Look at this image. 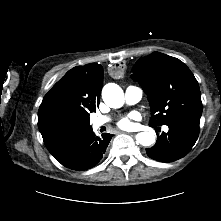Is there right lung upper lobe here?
Listing matches in <instances>:
<instances>
[{
	"label": "right lung upper lobe",
	"mask_w": 221,
	"mask_h": 221,
	"mask_svg": "<svg viewBox=\"0 0 221 221\" xmlns=\"http://www.w3.org/2000/svg\"><path fill=\"white\" fill-rule=\"evenodd\" d=\"M102 84V66L91 63L69 70L45 95L38 111V127L51 154L87 132L89 115L96 112L100 103ZM62 127L73 128L75 132L66 134Z\"/></svg>",
	"instance_id": "right-lung-upper-lobe-1"
}]
</instances>
